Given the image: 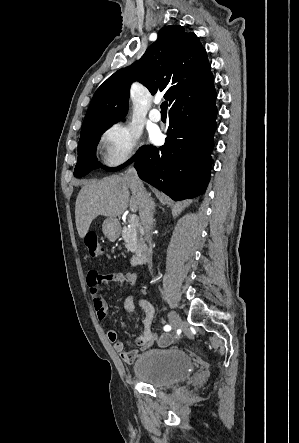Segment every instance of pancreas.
Masks as SVG:
<instances>
[{"mask_svg":"<svg viewBox=\"0 0 299 443\" xmlns=\"http://www.w3.org/2000/svg\"><path fill=\"white\" fill-rule=\"evenodd\" d=\"M143 230L139 223L130 224L122 230V238L128 251L135 252L142 240Z\"/></svg>","mask_w":299,"mask_h":443,"instance_id":"pancreas-1","label":"pancreas"}]
</instances>
